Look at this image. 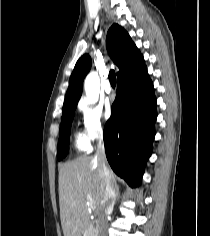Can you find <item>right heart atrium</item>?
Here are the masks:
<instances>
[{
	"label": "right heart atrium",
	"mask_w": 210,
	"mask_h": 236,
	"mask_svg": "<svg viewBox=\"0 0 210 236\" xmlns=\"http://www.w3.org/2000/svg\"><path fill=\"white\" fill-rule=\"evenodd\" d=\"M80 111L85 139L89 144L101 139L104 134V120L101 109L83 103L80 106Z\"/></svg>",
	"instance_id": "d8ad5b80"
}]
</instances>
